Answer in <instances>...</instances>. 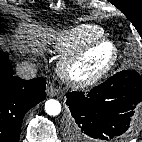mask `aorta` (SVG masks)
Segmentation results:
<instances>
[{
	"instance_id": "obj_1",
	"label": "aorta",
	"mask_w": 142,
	"mask_h": 142,
	"mask_svg": "<svg viewBox=\"0 0 142 142\" xmlns=\"http://www.w3.org/2000/svg\"><path fill=\"white\" fill-rule=\"evenodd\" d=\"M45 111L50 116H56L61 112V104L59 101L50 99L45 103Z\"/></svg>"
}]
</instances>
